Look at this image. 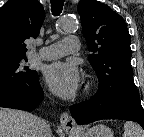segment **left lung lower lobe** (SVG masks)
<instances>
[{"label": "left lung lower lobe", "instance_id": "left-lung-lower-lobe-1", "mask_svg": "<svg viewBox=\"0 0 144 137\" xmlns=\"http://www.w3.org/2000/svg\"><path fill=\"white\" fill-rule=\"evenodd\" d=\"M70 112L78 125L102 119H120L137 122L144 129V109L138 91L111 98L96 93L90 100L71 106Z\"/></svg>", "mask_w": 144, "mask_h": 137}]
</instances>
